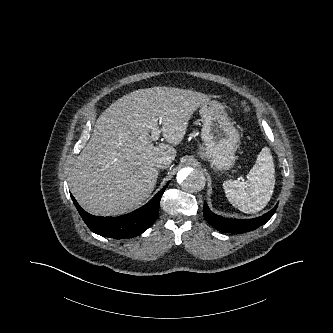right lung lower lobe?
Returning <instances> with one entry per match:
<instances>
[{
    "mask_svg": "<svg viewBox=\"0 0 333 333\" xmlns=\"http://www.w3.org/2000/svg\"><path fill=\"white\" fill-rule=\"evenodd\" d=\"M167 186L168 184L143 207L119 217L91 215L79 206L72 195L71 197L79 214L92 232L114 239L132 238L142 234L155 222L159 213L160 199Z\"/></svg>",
    "mask_w": 333,
    "mask_h": 333,
    "instance_id": "1",
    "label": "right lung lower lobe"
}]
</instances>
